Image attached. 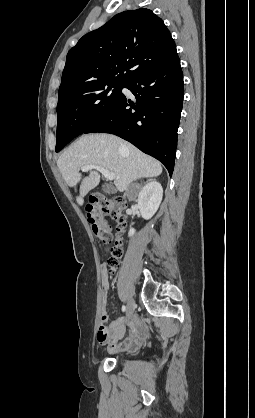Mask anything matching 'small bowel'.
I'll list each match as a JSON object with an SVG mask.
<instances>
[{
  "label": "small bowel",
  "mask_w": 255,
  "mask_h": 418,
  "mask_svg": "<svg viewBox=\"0 0 255 418\" xmlns=\"http://www.w3.org/2000/svg\"><path fill=\"white\" fill-rule=\"evenodd\" d=\"M102 290L105 296L108 290L105 265H102ZM101 320L103 325L98 330L97 341L100 344L107 345L108 351L111 353L135 349L140 346L145 337L146 331L137 318H133L130 321L128 330H126L125 320L123 318L116 319L105 326L104 323L108 320L105 303L102 307Z\"/></svg>",
  "instance_id": "1"
}]
</instances>
